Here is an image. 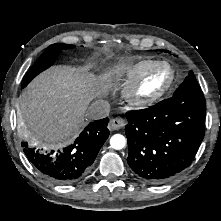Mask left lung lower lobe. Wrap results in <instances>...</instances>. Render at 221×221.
I'll return each mask as SVG.
<instances>
[{
    "label": "left lung lower lobe",
    "instance_id": "0a47b994",
    "mask_svg": "<svg viewBox=\"0 0 221 221\" xmlns=\"http://www.w3.org/2000/svg\"><path fill=\"white\" fill-rule=\"evenodd\" d=\"M206 106L170 99L126 113L127 162L137 177L166 182L193 161L205 133Z\"/></svg>",
    "mask_w": 221,
    "mask_h": 221
}]
</instances>
